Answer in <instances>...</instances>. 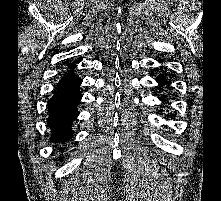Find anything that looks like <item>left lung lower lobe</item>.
I'll use <instances>...</instances> for the list:
<instances>
[{
    "mask_svg": "<svg viewBox=\"0 0 221 201\" xmlns=\"http://www.w3.org/2000/svg\"><path fill=\"white\" fill-rule=\"evenodd\" d=\"M157 82L160 84V85H165L167 83V80L165 79L164 76H161L159 75L157 78H156Z\"/></svg>",
    "mask_w": 221,
    "mask_h": 201,
    "instance_id": "left-lung-lower-lobe-1",
    "label": "left lung lower lobe"
}]
</instances>
